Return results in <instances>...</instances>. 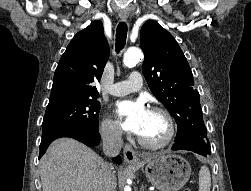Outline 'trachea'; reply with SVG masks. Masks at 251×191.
<instances>
[{
  "instance_id": "3493384b",
  "label": "trachea",
  "mask_w": 251,
  "mask_h": 191,
  "mask_svg": "<svg viewBox=\"0 0 251 191\" xmlns=\"http://www.w3.org/2000/svg\"><path fill=\"white\" fill-rule=\"evenodd\" d=\"M126 38H127V24L122 21L119 23L116 29L115 49L117 53H119L124 48L126 44Z\"/></svg>"
}]
</instances>
